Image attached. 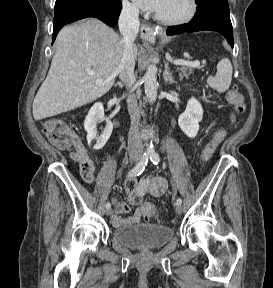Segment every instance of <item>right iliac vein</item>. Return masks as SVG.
<instances>
[{"label": "right iliac vein", "mask_w": 273, "mask_h": 288, "mask_svg": "<svg viewBox=\"0 0 273 288\" xmlns=\"http://www.w3.org/2000/svg\"><path fill=\"white\" fill-rule=\"evenodd\" d=\"M106 216H110L112 214V210L110 208L105 211Z\"/></svg>", "instance_id": "1"}]
</instances>
